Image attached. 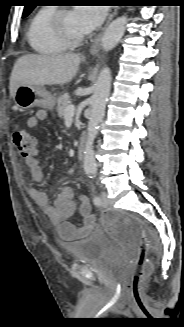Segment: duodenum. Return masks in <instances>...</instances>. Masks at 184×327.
<instances>
[{
  "label": "duodenum",
  "mask_w": 184,
  "mask_h": 327,
  "mask_svg": "<svg viewBox=\"0 0 184 327\" xmlns=\"http://www.w3.org/2000/svg\"><path fill=\"white\" fill-rule=\"evenodd\" d=\"M87 138L85 136L80 137V141L78 144V157L80 160L84 158L85 150H86Z\"/></svg>",
  "instance_id": "410a0bca"
}]
</instances>
